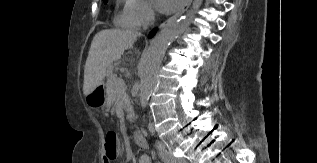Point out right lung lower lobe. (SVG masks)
Masks as SVG:
<instances>
[{"instance_id":"obj_1","label":"right lung lower lobe","mask_w":317,"mask_h":163,"mask_svg":"<svg viewBox=\"0 0 317 163\" xmlns=\"http://www.w3.org/2000/svg\"><path fill=\"white\" fill-rule=\"evenodd\" d=\"M155 31H156V29H154L153 31H151L149 37H152V36L154 35Z\"/></svg>"}]
</instances>
